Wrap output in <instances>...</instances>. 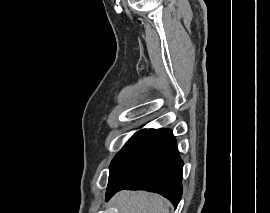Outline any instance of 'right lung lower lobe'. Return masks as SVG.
<instances>
[{"instance_id": "1", "label": "right lung lower lobe", "mask_w": 270, "mask_h": 213, "mask_svg": "<svg viewBox=\"0 0 270 213\" xmlns=\"http://www.w3.org/2000/svg\"><path fill=\"white\" fill-rule=\"evenodd\" d=\"M182 167L171 130H141L113 159L106 200L121 189L146 190L162 194L176 207L182 195Z\"/></svg>"}]
</instances>
